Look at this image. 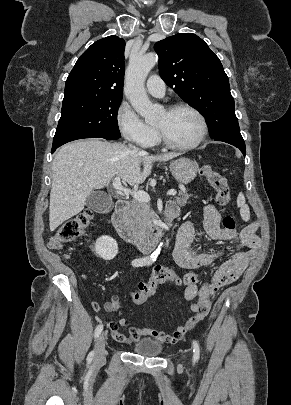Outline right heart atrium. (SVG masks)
I'll return each instance as SVG.
<instances>
[{"label":"right heart atrium","instance_id":"1","mask_svg":"<svg viewBox=\"0 0 291 405\" xmlns=\"http://www.w3.org/2000/svg\"><path fill=\"white\" fill-rule=\"evenodd\" d=\"M116 120L121 134L127 140L148 147L156 139V130L143 122L127 104H121L116 113Z\"/></svg>","mask_w":291,"mask_h":405}]
</instances>
